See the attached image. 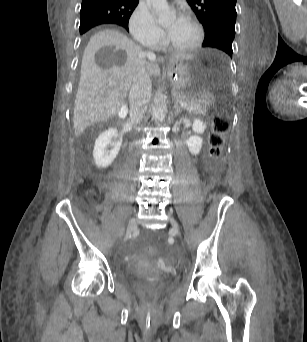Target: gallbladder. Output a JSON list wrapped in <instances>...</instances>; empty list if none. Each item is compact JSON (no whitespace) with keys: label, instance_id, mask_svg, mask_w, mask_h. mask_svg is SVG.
<instances>
[{"label":"gallbladder","instance_id":"1","mask_svg":"<svg viewBox=\"0 0 307 342\" xmlns=\"http://www.w3.org/2000/svg\"><path fill=\"white\" fill-rule=\"evenodd\" d=\"M119 116H120V118H127V116H128V109H127V107H120V109H119Z\"/></svg>","mask_w":307,"mask_h":342}]
</instances>
